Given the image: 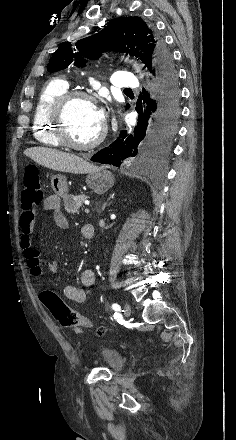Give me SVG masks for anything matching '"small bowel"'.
<instances>
[{"instance_id":"1","label":"small bowel","mask_w":236,"mask_h":440,"mask_svg":"<svg viewBox=\"0 0 236 440\" xmlns=\"http://www.w3.org/2000/svg\"><path fill=\"white\" fill-rule=\"evenodd\" d=\"M62 200L60 196L56 194L49 195L43 204V209L46 211H50L52 213L53 221L59 228H67L68 221L65 217V215L62 212ZM20 229H21V236H20V246L23 250V254L25 259L27 260L28 268L33 276H40L42 274V267L40 265V254L39 251L36 250L32 245V234L35 229V213L33 210L30 211H24L20 218ZM82 234L84 237H86L84 233V227L82 229ZM50 270L52 272L57 271V265L55 263L50 265ZM95 282V275L94 272L90 269H85L81 273V283L83 285V288H78L73 285H66L64 286L63 293L64 296L76 303H85L87 301V292L86 289L91 287ZM39 299L44 307H47V305L44 303L41 292L39 294ZM73 331L81 332L83 331V326L75 325L73 326Z\"/></svg>"}]
</instances>
